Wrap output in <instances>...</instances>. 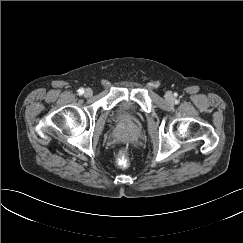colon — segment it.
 <instances>
[{
  "instance_id": "obj_1",
  "label": "colon",
  "mask_w": 243,
  "mask_h": 243,
  "mask_svg": "<svg viewBox=\"0 0 243 243\" xmlns=\"http://www.w3.org/2000/svg\"><path fill=\"white\" fill-rule=\"evenodd\" d=\"M117 163L121 168H127L129 166V154L127 148H122L117 156Z\"/></svg>"
}]
</instances>
